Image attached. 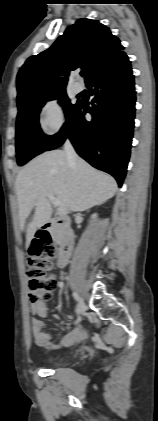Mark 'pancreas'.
<instances>
[{
	"label": "pancreas",
	"instance_id": "1",
	"mask_svg": "<svg viewBox=\"0 0 158 421\" xmlns=\"http://www.w3.org/2000/svg\"><path fill=\"white\" fill-rule=\"evenodd\" d=\"M51 234L53 236L54 241H58L60 232L57 229H52Z\"/></svg>",
	"mask_w": 158,
	"mask_h": 421
}]
</instances>
